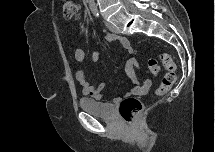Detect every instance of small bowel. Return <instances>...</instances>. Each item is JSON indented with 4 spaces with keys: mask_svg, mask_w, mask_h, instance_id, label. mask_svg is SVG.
Wrapping results in <instances>:
<instances>
[{
    "mask_svg": "<svg viewBox=\"0 0 215 152\" xmlns=\"http://www.w3.org/2000/svg\"><path fill=\"white\" fill-rule=\"evenodd\" d=\"M106 39L110 43H115L119 40L122 47L128 52V54L130 56H132L133 52L130 47L129 41L126 38H119L115 34L106 33ZM74 57H75V60L78 62L84 61V59H85L84 50L79 47L75 48ZM101 58H102V55L100 52H95L93 54V60L95 62L100 61ZM126 66L129 69L138 68V62L135 58L130 57L126 62ZM130 79H131L132 84L134 85V87L131 91V94H133V95L144 94L150 88L151 82L148 79H138L134 74H131ZM76 80L80 84L82 93L84 95H89L97 100L103 99L104 84H100L97 87L91 86L89 81L87 80V76H86L85 72H83V71H78L76 73Z\"/></svg>",
    "mask_w": 215,
    "mask_h": 152,
    "instance_id": "small-bowel-1",
    "label": "small bowel"
}]
</instances>
